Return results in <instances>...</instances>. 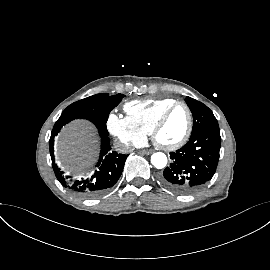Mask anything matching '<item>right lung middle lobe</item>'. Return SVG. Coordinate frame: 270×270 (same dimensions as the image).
Here are the masks:
<instances>
[{
  "label": "right lung middle lobe",
  "instance_id": "1",
  "mask_svg": "<svg viewBox=\"0 0 270 270\" xmlns=\"http://www.w3.org/2000/svg\"><path fill=\"white\" fill-rule=\"evenodd\" d=\"M123 97V94L109 96L107 93L87 97L69 105L58 120L94 118L107 122L109 113L119 104Z\"/></svg>",
  "mask_w": 270,
  "mask_h": 270
}]
</instances>
